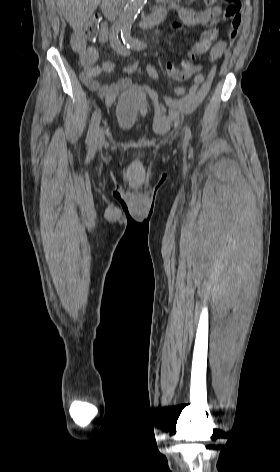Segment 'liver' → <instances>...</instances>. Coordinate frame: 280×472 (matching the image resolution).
Wrapping results in <instances>:
<instances>
[{
	"instance_id": "6515ba94",
	"label": "liver",
	"mask_w": 280,
	"mask_h": 472,
	"mask_svg": "<svg viewBox=\"0 0 280 472\" xmlns=\"http://www.w3.org/2000/svg\"><path fill=\"white\" fill-rule=\"evenodd\" d=\"M101 0H56L64 17L74 30H80L95 12Z\"/></svg>"
}]
</instances>
